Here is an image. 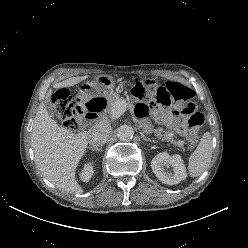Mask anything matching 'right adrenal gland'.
I'll return each instance as SVG.
<instances>
[{
	"mask_svg": "<svg viewBox=\"0 0 248 248\" xmlns=\"http://www.w3.org/2000/svg\"><path fill=\"white\" fill-rule=\"evenodd\" d=\"M88 149L92 150V151H100L102 148H98V147H88Z\"/></svg>",
	"mask_w": 248,
	"mask_h": 248,
	"instance_id": "right-adrenal-gland-1",
	"label": "right adrenal gland"
}]
</instances>
